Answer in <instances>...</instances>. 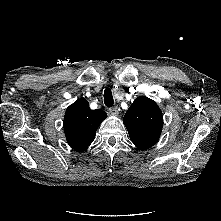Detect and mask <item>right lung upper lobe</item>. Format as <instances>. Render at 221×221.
<instances>
[{
	"label": "right lung upper lobe",
	"mask_w": 221,
	"mask_h": 221,
	"mask_svg": "<svg viewBox=\"0 0 221 221\" xmlns=\"http://www.w3.org/2000/svg\"><path fill=\"white\" fill-rule=\"evenodd\" d=\"M106 117L103 110H91L84 98L77 99L67 108L64 117V131L69 145L78 152L86 150Z\"/></svg>",
	"instance_id": "obj_1"
}]
</instances>
